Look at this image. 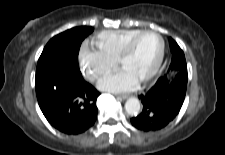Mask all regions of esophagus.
<instances>
[{
  "mask_svg": "<svg viewBox=\"0 0 225 155\" xmlns=\"http://www.w3.org/2000/svg\"><path fill=\"white\" fill-rule=\"evenodd\" d=\"M118 98H122V99H127L129 97V95L127 94H122V95H118Z\"/></svg>",
  "mask_w": 225,
  "mask_h": 155,
  "instance_id": "1",
  "label": "esophagus"
}]
</instances>
